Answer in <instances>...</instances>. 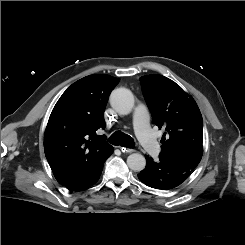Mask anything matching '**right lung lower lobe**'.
Wrapping results in <instances>:
<instances>
[{
	"instance_id": "right-lung-lower-lobe-1",
	"label": "right lung lower lobe",
	"mask_w": 245,
	"mask_h": 245,
	"mask_svg": "<svg viewBox=\"0 0 245 245\" xmlns=\"http://www.w3.org/2000/svg\"><path fill=\"white\" fill-rule=\"evenodd\" d=\"M109 157V156H108ZM108 157L95 161L88 170L83 172L78 177L74 178L64 186L67 187L69 190H82L89 186L95 184L98 179L100 178L103 164L108 159Z\"/></svg>"
}]
</instances>
